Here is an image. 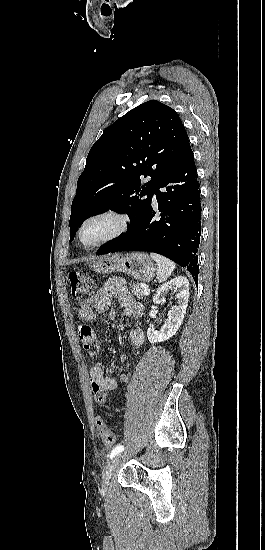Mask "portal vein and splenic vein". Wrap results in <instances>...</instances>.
Instances as JSON below:
<instances>
[{"label":"portal vein and splenic vein","instance_id":"portal-vein-and-splenic-vein-1","mask_svg":"<svg viewBox=\"0 0 265 550\" xmlns=\"http://www.w3.org/2000/svg\"><path fill=\"white\" fill-rule=\"evenodd\" d=\"M150 294V290L149 289H144V295L148 296Z\"/></svg>","mask_w":265,"mask_h":550}]
</instances>
